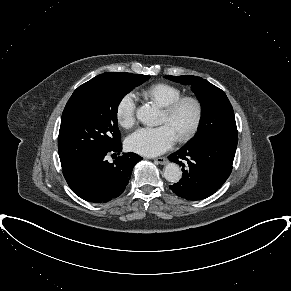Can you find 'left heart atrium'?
Returning a JSON list of instances; mask_svg holds the SVG:
<instances>
[{
  "mask_svg": "<svg viewBox=\"0 0 291 291\" xmlns=\"http://www.w3.org/2000/svg\"><path fill=\"white\" fill-rule=\"evenodd\" d=\"M177 138L168 125L137 130L127 138V147L145 156H155L167 151Z\"/></svg>",
  "mask_w": 291,
  "mask_h": 291,
  "instance_id": "39dd6f15",
  "label": "left heart atrium"
}]
</instances>
